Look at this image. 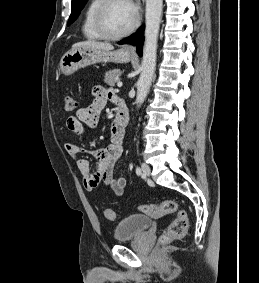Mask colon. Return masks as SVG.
Returning <instances> with one entry per match:
<instances>
[{
    "label": "colon",
    "instance_id": "1",
    "mask_svg": "<svg viewBox=\"0 0 259 283\" xmlns=\"http://www.w3.org/2000/svg\"><path fill=\"white\" fill-rule=\"evenodd\" d=\"M65 110L73 112L77 109V101L67 95L64 99ZM139 210L151 217L159 218L164 215L173 214L175 218L169 223L164 233L159 237L160 244H168L174 240L181 239L185 236L188 227V217L186 212L181 209L174 200H164L160 203L142 204ZM104 216L107 220L113 221L116 215L112 209L106 208Z\"/></svg>",
    "mask_w": 259,
    "mask_h": 283
}]
</instances>
